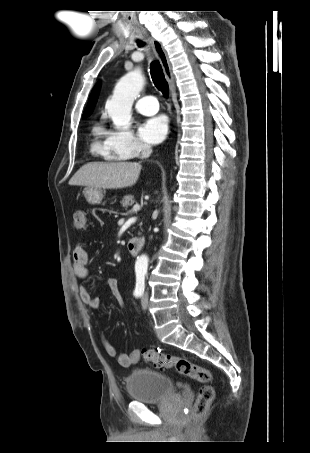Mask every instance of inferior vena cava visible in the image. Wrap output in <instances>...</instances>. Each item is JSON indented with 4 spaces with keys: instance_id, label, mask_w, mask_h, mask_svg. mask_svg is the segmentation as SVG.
Returning a JSON list of instances; mask_svg holds the SVG:
<instances>
[{
    "instance_id": "obj_1",
    "label": "inferior vena cava",
    "mask_w": 310,
    "mask_h": 453,
    "mask_svg": "<svg viewBox=\"0 0 310 453\" xmlns=\"http://www.w3.org/2000/svg\"><path fill=\"white\" fill-rule=\"evenodd\" d=\"M151 153H152L151 147L149 145H146V144L143 145L142 153H141L142 156L141 157L142 158H148L151 155Z\"/></svg>"
}]
</instances>
